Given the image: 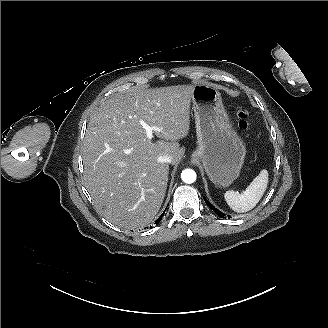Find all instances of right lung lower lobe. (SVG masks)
<instances>
[{
  "mask_svg": "<svg viewBox=\"0 0 328 328\" xmlns=\"http://www.w3.org/2000/svg\"><path fill=\"white\" fill-rule=\"evenodd\" d=\"M165 213V212H164ZM164 213L155 221L156 224H158L160 222V220L162 219Z\"/></svg>",
  "mask_w": 328,
  "mask_h": 328,
  "instance_id": "right-lung-lower-lobe-1",
  "label": "right lung lower lobe"
}]
</instances>
